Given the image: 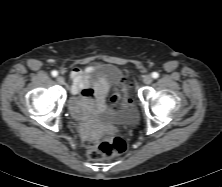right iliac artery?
Instances as JSON below:
<instances>
[{
    "mask_svg": "<svg viewBox=\"0 0 222 187\" xmlns=\"http://www.w3.org/2000/svg\"><path fill=\"white\" fill-rule=\"evenodd\" d=\"M51 74H52L53 77H56L58 75V72L57 71H52Z\"/></svg>",
    "mask_w": 222,
    "mask_h": 187,
    "instance_id": "obj_1",
    "label": "right iliac artery"
}]
</instances>
